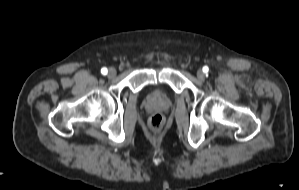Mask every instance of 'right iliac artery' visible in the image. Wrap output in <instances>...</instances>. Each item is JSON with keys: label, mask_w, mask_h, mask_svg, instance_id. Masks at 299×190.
Here are the masks:
<instances>
[{"label": "right iliac artery", "mask_w": 299, "mask_h": 190, "mask_svg": "<svg viewBox=\"0 0 299 190\" xmlns=\"http://www.w3.org/2000/svg\"><path fill=\"white\" fill-rule=\"evenodd\" d=\"M107 72H108L107 68L104 67V68L101 69V73H102L103 75H106Z\"/></svg>", "instance_id": "right-iliac-artery-1"}]
</instances>
